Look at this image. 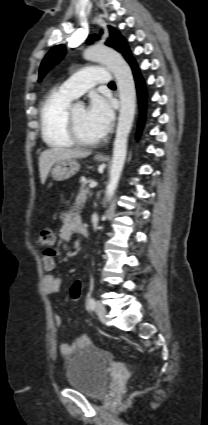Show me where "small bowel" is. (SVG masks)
<instances>
[{"label":"small bowel","mask_w":208,"mask_h":425,"mask_svg":"<svg viewBox=\"0 0 208 425\" xmlns=\"http://www.w3.org/2000/svg\"><path fill=\"white\" fill-rule=\"evenodd\" d=\"M84 224L80 217L74 213H65L61 218V226L59 229V237L63 241H70L75 231L80 232V228ZM55 252H45L42 257V263L47 274L44 276V290L47 294H56L60 291L62 279L55 276L52 272L56 268L54 259ZM55 323L58 329L62 325V319L58 314L54 316ZM91 344L90 338L86 334H82L73 343H62L60 350L63 355H70L76 349L89 346Z\"/></svg>","instance_id":"1"}]
</instances>
